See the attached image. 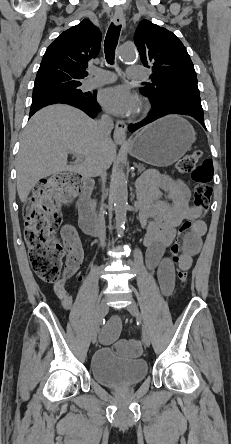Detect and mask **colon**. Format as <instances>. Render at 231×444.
<instances>
[{"mask_svg":"<svg viewBox=\"0 0 231 444\" xmlns=\"http://www.w3.org/2000/svg\"><path fill=\"white\" fill-rule=\"evenodd\" d=\"M202 152L193 150L176 163L180 174H190L195 184L194 203L205 210L211 199L212 164L209 160L200 162ZM82 178L72 174H58L40 183L29 201L25 215L24 237L29 249L31 266L37 276L47 283H60L71 277L79 267L82 254L63 247L56 238V231L61 224L60 207L72 200L82 190ZM193 227L189 221L184 222L179 235L182 237ZM181 241L177 240L171 247L174 261L179 260ZM180 282L187 279V270L177 269ZM121 347L131 353L140 352L138 341L124 342Z\"/></svg>","mask_w":231,"mask_h":444,"instance_id":"5ec220e1","label":"colon"}]
</instances>
